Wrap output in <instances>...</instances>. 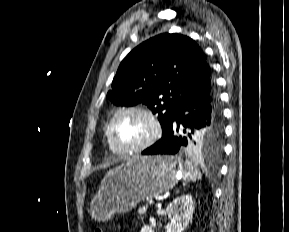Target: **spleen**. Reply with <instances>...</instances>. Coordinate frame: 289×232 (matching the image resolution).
I'll return each instance as SVG.
<instances>
[{
    "label": "spleen",
    "mask_w": 289,
    "mask_h": 232,
    "mask_svg": "<svg viewBox=\"0 0 289 232\" xmlns=\"http://www.w3.org/2000/svg\"><path fill=\"white\" fill-rule=\"evenodd\" d=\"M179 168L183 172L182 177L185 181H196L202 177L197 167L190 161H186L184 167L180 165Z\"/></svg>",
    "instance_id": "3e777b00"
}]
</instances>
